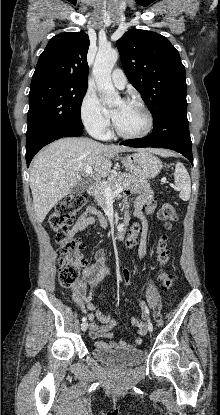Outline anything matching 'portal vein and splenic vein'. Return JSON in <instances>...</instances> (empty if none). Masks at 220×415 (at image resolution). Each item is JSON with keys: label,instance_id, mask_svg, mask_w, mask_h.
<instances>
[{"label": "portal vein and splenic vein", "instance_id": "portal-vein-and-splenic-vein-1", "mask_svg": "<svg viewBox=\"0 0 220 415\" xmlns=\"http://www.w3.org/2000/svg\"><path fill=\"white\" fill-rule=\"evenodd\" d=\"M85 173L88 175H93L92 167L87 166L85 169ZM104 191L106 197H115L117 194L123 191V188L121 186H117L116 189L113 190L109 186L104 185Z\"/></svg>", "mask_w": 220, "mask_h": 415}]
</instances>
